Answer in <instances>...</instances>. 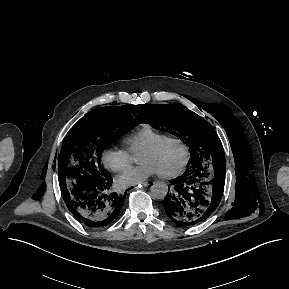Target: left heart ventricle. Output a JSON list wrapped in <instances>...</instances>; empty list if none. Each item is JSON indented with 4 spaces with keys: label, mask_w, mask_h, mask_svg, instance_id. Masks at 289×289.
Listing matches in <instances>:
<instances>
[{
    "label": "left heart ventricle",
    "mask_w": 289,
    "mask_h": 289,
    "mask_svg": "<svg viewBox=\"0 0 289 289\" xmlns=\"http://www.w3.org/2000/svg\"><path fill=\"white\" fill-rule=\"evenodd\" d=\"M184 159V150L178 143H168L155 153H143L138 156L140 164L148 163L154 166L158 173H168L176 170Z\"/></svg>",
    "instance_id": "1"
}]
</instances>
